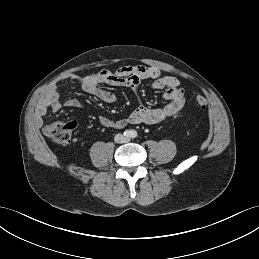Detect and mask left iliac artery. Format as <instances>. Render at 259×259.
<instances>
[{
    "mask_svg": "<svg viewBox=\"0 0 259 259\" xmlns=\"http://www.w3.org/2000/svg\"><path fill=\"white\" fill-rule=\"evenodd\" d=\"M131 137L132 138H136L137 137V132L136 131H132L131 132Z\"/></svg>",
    "mask_w": 259,
    "mask_h": 259,
    "instance_id": "44dca946",
    "label": "left iliac artery"
}]
</instances>
